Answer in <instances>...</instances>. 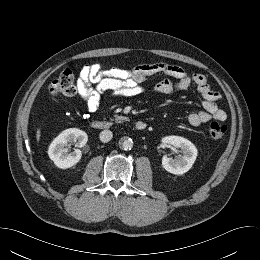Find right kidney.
<instances>
[{
	"label": "right kidney",
	"instance_id": "right-kidney-1",
	"mask_svg": "<svg viewBox=\"0 0 260 260\" xmlns=\"http://www.w3.org/2000/svg\"><path fill=\"white\" fill-rule=\"evenodd\" d=\"M87 141L86 132L77 128L66 129L52 141L48 149V155L58 168H70L80 161L82 153L79 149L68 153L67 145L75 143L76 146L83 147Z\"/></svg>",
	"mask_w": 260,
	"mask_h": 260
}]
</instances>
